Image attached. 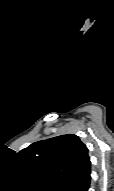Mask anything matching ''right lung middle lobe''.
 Segmentation results:
<instances>
[{
    "label": "right lung middle lobe",
    "mask_w": 114,
    "mask_h": 191,
    "mask_svg": "<svg viewBox=\"0 0 114 191\" xmlns=\"http://www.w3.org/2000/svg\"><path fill=\"white\" fill-rule=\"evenodd\" d=\"M57 188L58 187H50V188H45L43 190H45V191H57L58 190Z\"/></svg>",
    "instance_id": "dd1d6c3e"
}]
</instances>
